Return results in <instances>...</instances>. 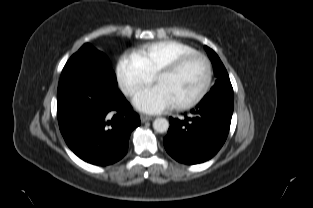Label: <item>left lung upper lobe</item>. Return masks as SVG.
Masks as SVG:
<instances>
[{"label":"left lung upper lobe","instance_id":"5c2ea615","mask_svg":"<svg viewBox=\"0 0 313 208\" xmlns=\"http://www.w3.org/2000/svg\"><path fill=\"white\" fill-rule=\"evenodd\" d=\"M207 54L213 64L214 68V75L217 77L215 85L211 88L210 92L219 91V90H231L233 91L228 73L221 62L220 58L217 54L210 49L209 47L205 46Z\"/></svg>","mask_w":313,"mask_h":208}]
</instances>
